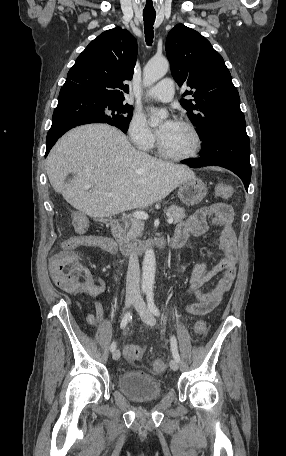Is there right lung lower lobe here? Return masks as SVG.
Instances as JSON below:
<instances>
[{"mask_svg": "<svg viewBox=\"0 0 286 456\" xmlns=\"http://www.w3.org/2000/svg\"><path fill=\"white\" fill-rule=\"evenodd\" d=\"M94 96L76 88H61L59 102L54 110L52 126L46 138V153L55 142L73 127L88 124L86 120L87 107L94 103Z\"/></svg>", "mask_w": 286, "mask_h": 456, "instance_id": "1", "label": "right lung lower lobe"}]
</instances>
